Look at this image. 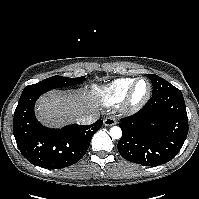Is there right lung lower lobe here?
<instances>
[{"mask_svg":"<svg viewBox=\"0 0 199 199\" xmlns=\"http://www.w3.org/2000/svg\"><path fill=\"white\" fill-rule=\"evenodd\" d=\"M45 92H22L14 113L13 133L22 155L32 164L60 169L79 161L86 153L93 134L102 120L87 126L72 124L61 129H49L35 118L34 104Z\"/></svg>","mask_w":199,"mask_h":199,"instance_id":"98d812e1","label":"right lung lower lobe"}]
</instances>
